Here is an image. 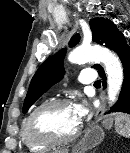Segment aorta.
Returning a JSON list of instances; mask_svg holds the SVG:
<instances>
[{
  "instance_id": "1",
  "label": "aorta",
  "mask_w": 130,
  "mask_h": 153,
  "mask_svg": "<svg viewBox=\"0 0 130 153\" xmlns=\"http://www.w3.org/2000/svg\"><path fill=\"white\" fill-rule=\"evenodd\" d=\"M71 63L101 62L105 66L109 104L115 103L123 83V69L118 57L109 49L97 46L78 47L68 56Z\"/></svg>"
}]
</instances>
